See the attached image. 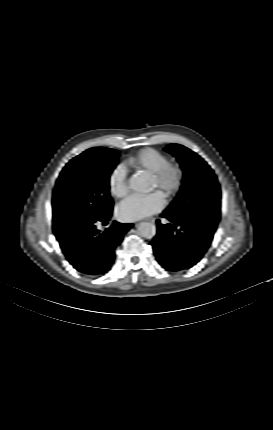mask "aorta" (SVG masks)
Returning a JSON list of instances; mask_svg holds the SVG:
<instances>
[{
	"instance_id": "1",
	"label": "aorta",
	"mask_w": 273,
	"mask_h": 430,
	"mask_svg": "<svg viewBox=\"0 0 273 430\" xmlns=\"http://www.w3.org/2000/svg\"><path fill=\"white\" fill-rule=\"evenodd\" d=\"M130 188L137 193H147L152 190V181L141 175H133L129 179ZM138 232L142 237L152 238L156 235V226L148 222H141L138 224Z\"/></svg>"
}]
</instances>
